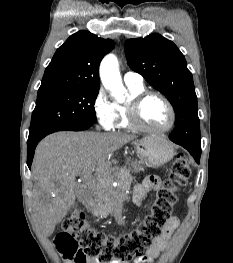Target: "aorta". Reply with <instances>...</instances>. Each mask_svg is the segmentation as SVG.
<instances>
[{"instance_id":"1","label":"aorta","mask_w":233,"mask_h":263,"mask_svg":"<svg viewBox=\"0 0 233 263\" xmlns=\"http://www.w3.org/2000/svg\"><path fill=\"white\" fill-rule=\"evenodd\" d=\"M100 78L104 87L110 90L119 102H124L126 89L122 84L117 57L113 54L105 56L100 65Z\"/></svg>"}]
</instances>
